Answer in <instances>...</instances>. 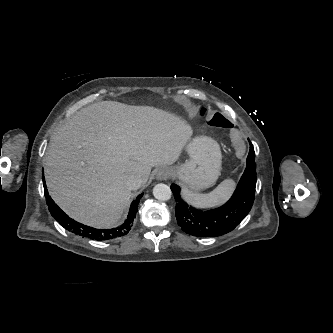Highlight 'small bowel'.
Returning <instances> with one entry per match:
<instances>
[{
	"label": "small bowel",
	"mask_w": 333,
	"mask_h": 333,
	"mask_svg": "<svg viewBox=\"0 0 333 333\" xmlns=\"http://www.w3.org/2000/svg\"><path fill=\"white\" fill-rule=\"evenodd\" d=\"M229 140L234 145V151L237 158L242 159L246 155L245 145L240 134L233 133L230 135Z\"/></svg>",
	"instance_id": "1"
}]
</instances>
